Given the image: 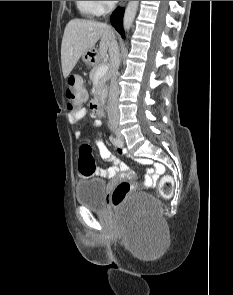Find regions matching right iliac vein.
Here are the masks:
<instances>
[{"instance_id": "obj_1", "label": "right iliac vein", "mask_w": 233, "mask_h": 295, "mask_svg": "<svg viewBox=\"0 0 233 295\" xmlns=\"http://www.w3.org/2000/svg\"><path fill=\"white\" fill-rule=\"evenodd\" d=\"M114 132L118 135L120 133L119 128L118 127H114Z\"/></svg>"}]
</instances>
